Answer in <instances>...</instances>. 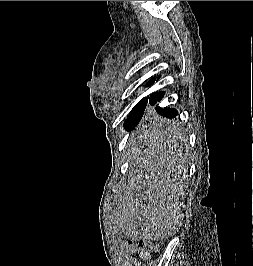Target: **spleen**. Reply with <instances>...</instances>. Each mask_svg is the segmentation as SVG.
Returning <instances> with one entry per match:
<instances>
[{
  "label": "spleen",
  "instance_id": "obj_1",
  "mask_svg": "<svg viewBox=\"0 0 253 266\" xmlns=\"http://www.w3.org/2000/svg\"><path fill=\"white\" fill-rule=\"evenodd\" d=\"M152 132H167V123H152ZM126 156H132L129 184L137 190L128 191L126 207H114V216H125L122 226L129 242H148L158 248L168 235H179L178 202L184 184L186 141H170L169 135H124Z\"/></svg>",
  "mask_w": 253,
  "mask_h": 266
}]
</instances>
